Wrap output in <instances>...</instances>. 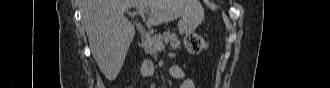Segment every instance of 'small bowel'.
<instances>
[{
  "mask_svg": "<svg viewBox=\"0 0 330 88\" xmlns=\"http://www.w3.org/2000/svg\"><path fill=\"white\" fill-rule=\"evenodd\" d=\"M168 75L180 81L179 88H194V82L187 77L185 70L179 65H172L168 68Z\"/></svg>",
  "mask_w": 330,
  "mask_h": 88,
  "instance_id": "c3829d8e",
  "label": "small bowel"
}]
</instances>
